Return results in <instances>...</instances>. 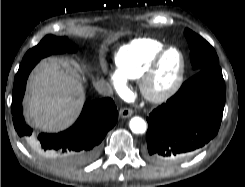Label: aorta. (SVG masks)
I'll return each instance as SVG.
<instances>
[{
	"instance_id": "1",
	"label": "aorta",
	"mask_w": 245,
	"mask_h": 187,
	"mask_svg": "<svg viewBox=\"0 0 245 187\" xmlns=\"http://www.w3.org/2000/svg\"><path fill=\"white\" fill-rule=\"evenodd\" d=\"M130 129L135 134H143L146 132V122L141 117H133L129 122Z\"/></svg>"
}]
</instances>
